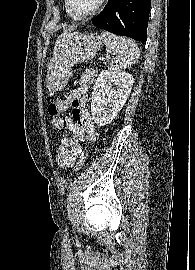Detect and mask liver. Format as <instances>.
I'll list each match as a JSON object with an SVG mask.
<instances>
[{"mask_svg":"<svg viewBox=\"0 0 195 270\" xmlns=\"http://www.w3.org/2000/svg\"><path fill=\"white\" fill-rule=\"evenodd\" d=\"M67 34H69L67 31L64 32L63 34H61V36L58 37V39H57V41H56V44H57V42H58V40H59L60 37H62V36H64V35H67ZM56 44H55V46H56ZM54 51H55V48H54Z\"/></svg>","mask_w":195,"mask_h":270,"instance_id":"obj_1","label":"liver"}]
</instances>
